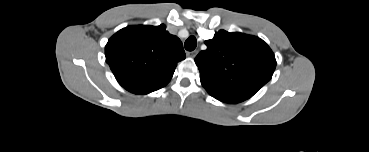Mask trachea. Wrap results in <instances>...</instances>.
I'll return each mask as SVG.
<instances>
[{"label": "trachea", "instance_id": "1", "mask_svg": "<svg viewBox=\"0 0 369 152\" xmlns=\"http://www.w3.org/2000/svg\"><path fill=\"white\" fill-rule=\"evenodd\" d=\"M197 46V40L194 36H190L184 43V47L187 51H193Z\"/></svg>", "mask_w": 369, "mask_h": 152}]
</instances>
